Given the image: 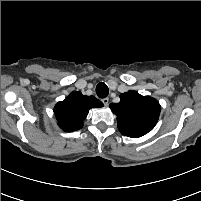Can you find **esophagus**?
Here are the masks:
<instances>
[{
    "label": "esophagus",
    "mask_w": 201,
    "mask_h": 201,
    "mask_svg": "<svg viewBox=\"0 0 201 201\" xmlns=\"http://www.w3.org/2000/svg\"><path fill=\"white\" fill-rule=\"evenodd\" d=\"M102 102H103V104H104L105 106H108V104H109V99H108V98H103V99H102Z\"/></svg>",
    "instance_id": "34e87169"
}]
</instances>
